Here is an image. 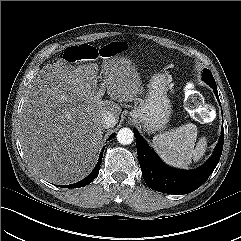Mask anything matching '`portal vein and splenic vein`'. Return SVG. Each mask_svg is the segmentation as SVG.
<instances>
[{
    "label": "portal vein and splenic vein",
    "mask_w": 241,
    "mask_h": 241,
    "mask_svg": "<svg viewBox=\"0 0 241 241\" xmlns=\"http://www.w3.org/2000/svg\"><path fill=\"white\" fill-rule=\"evenodd\" d=\"M104 88H105V85L101 84L100 89H99V96H102L104 94Z\"/></svg>",
    "instance_id": "1"
}]
</instances>
